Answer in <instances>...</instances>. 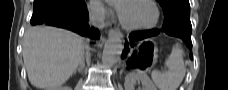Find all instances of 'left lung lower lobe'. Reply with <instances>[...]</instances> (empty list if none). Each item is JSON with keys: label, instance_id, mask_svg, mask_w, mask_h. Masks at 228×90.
<instances>
[{"label": "left lung lower lobe", "instance_id": "left-lung-lower-lobe-1", "mask_svg": "<svg viewBox=\"0 0 228 90\" xmlns=\"http://www.w3.org/2000/svg\"><path fill=\"white\" fill-rule=\"evenodd\" d=\"M163 30L166 34L171 35V36H176L181 38L183 41H185L190 48L192 49V42H191V28H185L184 26H165L163 25ZM159 33V30L153 29L149 31H141V32H135L131 33L129 35V39L131 41H137L141 40L150 36L157 35ZM128 44H125V50L124 53L122 54V58L125 57V54L128 52L127 50ZM191 59L193 58L192 55L190 56Z\"/></svg>", "mask_w": 228, "mask_h": 90}]
</instances>
